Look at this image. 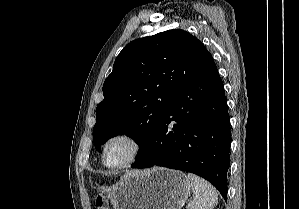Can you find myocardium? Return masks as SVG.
<instances>
[{"label": "myocardium", "instance_id": "f54148a6", "mask_svg": "<svg viewBox=\"0 0 299 209\" xmlns=\"http://www.w3.org/2000/svg\"><path fill=\"white\" fill-rule=\"evenodd\" d=\"M115 140H125V141L129 142L131 145V153H130L128 159L124 163L117 165V166H111V165H108L106 162V152H107L108 146ZM143 149H144V144H143L142 140L136 134H134L132 132H128V131H121V132L115 133L107 139V141L105 142V144L103 146L102 163L106 168L112 169V170H120V169L127 168V167L131 166L132 164H134L138 160V158L141 156V154L143 152Z\"/></svg>", "mask_w": 299, "mask_h": 209}]
</instances>
